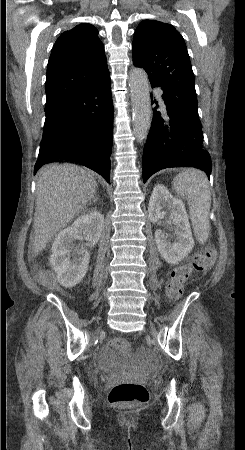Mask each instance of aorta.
Here are the masks:
<instances>
[{
	"mask_svg": "<svg viewBox=\"0 0 245 450\" xmlns=\"http://www.w3.org/2000/svg\"><path fill=\"white\" fill-rule=\"evenodd\" d=\"M129 86L133 131L136 139L142 141L148 135L152 113L149 80L146 72L141 68L132 69L129 76Z\"/></svg>",
	"mask_w": 245,
	"mask_h": 450,
	"instance_id": "1",
	"label": "aorta"
}]
</instances>
